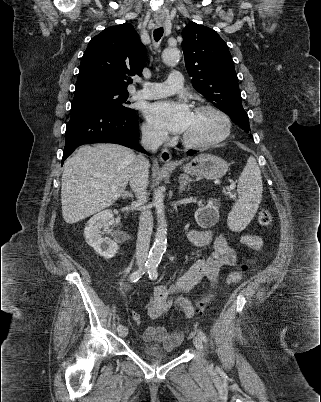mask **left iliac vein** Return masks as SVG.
I'll return each instance as SVG.
<instances>
[{
	"label": "left iliac vein",
	"instance_id": "left-iliac-vein-1",
	"mask_svg": "<svg viewBox=\"0 0 321 402\" xmlns=\"http://www.w3.org/2000/svg\"><path fill=\"white\" fill-rule=\"evenodd\" d=\"M193 344L196 347L197 350H199L200 352L203 351V342L202 339L198 336H195L193 339Z\"/></svg>",
	"mask_w": 321,
	"mask_h": 402
}]
</instances>
